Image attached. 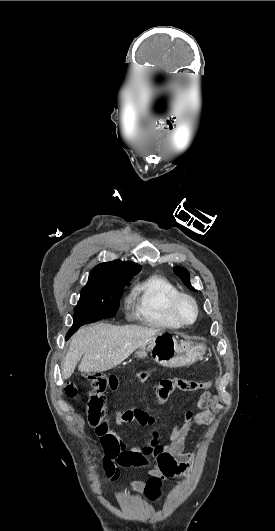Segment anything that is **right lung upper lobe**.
Returning a JSON list of instances; mask_svg holds the SVG:
<instances>
[{
    "label": "right lung upper lobe",
    "mask_w": 275,
    "mask_h": 531,
    "mask_svg": "<svg viewBox=\"0 0 275 531\" xmlns=\"http://www.w3.org/2000/svg\"><path fill=\"white\" fill-rule=\"evenodd\" d=\"M140 269L136 263L120 260L105 262L95 266L88 279V283L129 281Z\"/></svg>",
    "instance_id": "1"
}]
</instances>
